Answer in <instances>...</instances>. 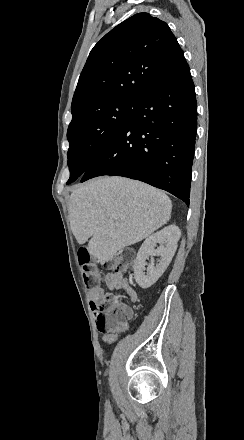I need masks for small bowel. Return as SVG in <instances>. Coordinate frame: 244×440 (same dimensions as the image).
<instances>
[{
    "label": "small bowel",
    "mask_w": 244,
    "mask_h": 440,
    "mask_svg": "<svg viewBox=\"0 0 244 440\" xmlns=\"http://www.w3.org/2000/svg\"><path fill=\"white\" fill-rule=\"evenodd\" d=\"M105 284L110 290H120L124 289L129 297L130 301L136 300V294L133 290L129 288L124 277L120 273H107L105 276ZM105 292L104 288L98 287L90 292V297L92 299L101 297ZM117 338H113V335H107L106 333L103 336V341L106 343H112L116 341Z\"/></svg>",
    "instance_id": "c3829d8e"
}]
</instances>
